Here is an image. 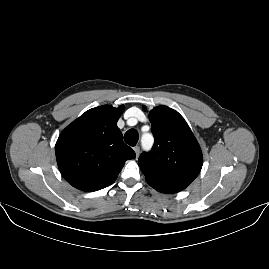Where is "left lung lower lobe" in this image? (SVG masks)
<instances>
[{"label": "left lung lower lobe", "instance_id": "0a47b994", "mask_svg": "<svg viewBox=\"0 0 269 269\" xmlns=\"http://www.w3.org/2000/svg\"><path fill=\"white\" fill-rule=\"evenodd\" d=\"M148 184L152 186L154 189H156L157 191L163 192V193H176L186 188V187L177 186V185L160 184V183H156L152 181H148Z\"/></svg>", "mask_w": 269, "mask_h": 269}]
</instances>
